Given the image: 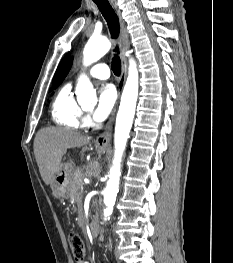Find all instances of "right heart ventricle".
Wrapping results in <instances>:
<instances>
[{
    "label": "right heart ventricle",
    "instance_id": "e07e8e85",
    "mask_svg": "<svg viewBox=\"0 0 233 263\" xmlns=\"http://www.w3.org/2000/svg\"><path fill=\"white\" fill-rule=\"evenodd\" d=\"M52 119L60 126L72 129L83 127V111L75 99L71 85H64L56 94L52 103Z\"/></svg>",
    "mask_w": 233,
    "mask_h": 263
}]
</instances>
